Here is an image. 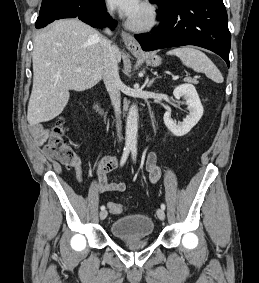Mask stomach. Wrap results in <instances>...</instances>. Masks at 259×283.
Wrapping results in <instances>:
<instances>
[{"label":"stomach","mask_w":259,"mask_h":283,"mask_svg":"<svg viewBox=\"0 0 259 283\" xmlns=\"http://www.w3.org/2000/svg\"><path fill=\"white\" fill-rule=\"evenodd\" d=\"M138 56V54H135ZM146 63L152 67H157L161 64V57L155 54H147L144 56Z\"/></svg>","instance_id":"obj_1"}]
</instances>
